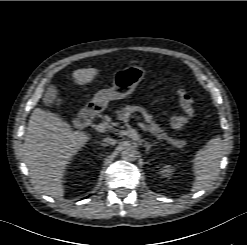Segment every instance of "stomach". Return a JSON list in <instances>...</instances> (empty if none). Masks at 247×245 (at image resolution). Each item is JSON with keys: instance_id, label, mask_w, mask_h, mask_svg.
Returning <instances> with one entry per match:
<instances>
[{"instance_id": "1", "label": "stomach", "mask_w": 247, "mask_h": 245, "mask_svg": "<svg viewBox=\"0 0 247 245\" xmlns=\"http://www.w3.org/2000/svg\"><path fill=\"white\" fill-rule=\"evenodd\" d=\"M146 70L137 65H130L114 72L112 87L98 91L88 104L96 111L104 110L112 100H120L131 95L144 79Z\"/></svg>"}]
</instances>
